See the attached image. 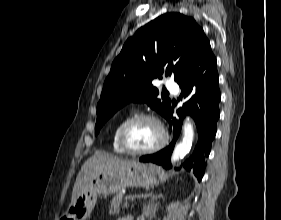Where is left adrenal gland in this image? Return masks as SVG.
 <instances>
[{
	"label": "left adrenal gland",
	"instance_id": "left-adrenal-gland-1",
	"mask_svg": "<svg viewBox=\"0 0 281 220\" xmlns=\"http://www.w3.org/2000/svg\"><path fill=\"white\" fill-rule=\"evenodd\" d=\"M162 198L164 200V197L162 195L155 196L153 195L151 201L148 202L147 206L144 208V214L146 217H149L153 213H155L157 207L159 206V202L155 203L157 199Z\"/></svg>",
	"mask_w": 281,
	"mask_h": 220
}]
</instances>
